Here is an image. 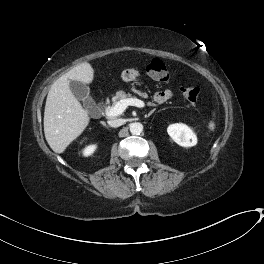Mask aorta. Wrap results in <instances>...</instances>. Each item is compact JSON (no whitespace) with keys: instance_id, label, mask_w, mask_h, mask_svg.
<instances>
[{"instance_id":"aorta-1","label":"aorta","mask_w":264,"mask_h":264,"mask_svg":"<svg viewBox=\"0 0 264 264\" xmlns=\"http://www.w3.org/2000/svg\"><path fill=\"white\" fill-rule=\"evenodd\" d=\"M143 131V125L139 122H134L130 125V132L133 135H139Z\"/></svg>"}]
</instances>
